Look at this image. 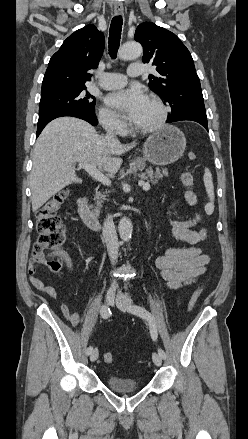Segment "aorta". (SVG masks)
<instances>
[{"instance_id": "obj_1", "label": "aorta", "mask_w": 248, "mask_h": 439, "mask_svg": "<svg viewBox=\"0 0 248 439\" xmlns=\"http://www.w3.org/2000/svg\"><path fill=\"white\" fill-rule=\"evenodd\" d=\"M142 46L138 42L125 43L119 50V57L123 60H132L138 58L142 54ZM120 238L128 242L131 239L133 225L128 217L120 219L118 224Z\"/></svg>"}]
</instances>
